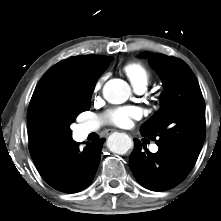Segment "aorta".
I'll return each mask as SVG.
<instances>
[{
    "label": "aorta",
    "instance_id": "obj_1",
    "mask_svg": "<svg viewBox=\"0 0 221 221\" xmlns=\"http://www.w3.org/2000/svg\"><path fill=\"white\" fill-rule=\"evenodd\" d=\"M130 95V86L122 79H111L103 87L104 98L112 104H122L128 100ZM132 146V140L124 133H114L108 139V147L113 153L123 155Z\"/></svg>",
    "mask_w": 221,
    "mask_h": 221
}]
</instances>
